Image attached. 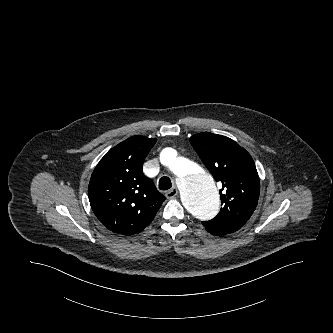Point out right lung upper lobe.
I'll return each instance as SVG.
<instances>
[{
	"instance_id": "cb5924a9",
	"label": "right lung upper lobe",
	"mask_w": 333,
	"mask_h": 333,
	"mask_svg": "<svg viewBox=\"0 0 333 333\" xmlns=\"http://www.w3.org/2000/svg\"><path fill=\"white\" fill-rule=\"evenodd\" d=\"M156 141L130 137L113 147L92 173L88 187L91 208L115 233H140L166 199L142 172L144 159Z\"/></svg>"
}]
</instances>
